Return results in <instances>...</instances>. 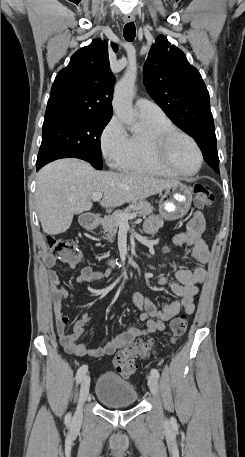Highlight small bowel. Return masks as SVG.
Listing matches in <instances>:
<instances>
[{
  "mask_svg": "<svg viewBox=\"0 0 245 457\" xmlns=\"http://www.w3.org/2000/svg\"><path fill=\"white\" fill-rule=\"evenodd\" d=\"M162 226V220L158 215L150 216L145 222V232L155 233ZM205 230V217L201 211H196L187 223L186 231L179 232L173 236L172 242L175 246L188 245L193 249L194 258L201 264L194 270L174 267V280H170L162 275L157 276V282L161 286L169 288L179 300L163 304L160 308L149 299L145 294L136 291L132 296L134 306L140 312V321L143 327H129L114 338L107 341L103 346L88 347L77 343L82 336L86 326L90 321L88 314L83 313L75 322L73 332L68 333L67 326L69 318L61 313L63 301L68 297H74L62 284L58 274L53 270L59 260L70 269L76 267V260L44 256L46 276L51 292V302L55 316V326L59 341L66 352L77 356L102 357L112 355L123 346L135 341L138 338H147L157 332L165 330V323L173 321L179 313L192 314L195 310L194 297L197 295L198 284L206 278V264L208 262V246L202 234ZM111 275V271H95L90 266L82 267L77 278L78 283L102 281Z\"/></svg>",
  "mask_w": 245,
  "mask_h": 457,
  "instance_id": "small-bowel-1",
  "label": "small bowel"
}]
</instances>
